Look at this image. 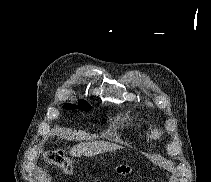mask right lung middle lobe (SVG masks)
Masks as SVG:
<instances>
[{
	"label": "right lung middle lobe",
	"mask_w": 211,
	"mask_h": 182,
	"mask_svg": "<svg viewBox=\"0 0 211 182\" xmlns=\"http://www.w3.org/2000/svg\"><path fill=\"white\" fill-rule=\"evenodd\" d=\"M63 108L69 109V110H73V109H80L81 111H89L91 109V106L89 105L88 102L84 101V100H80L78 105H74V104H65L63 106Z\"/></svg>",
	"instance_id": "1"
}]
</instances>
